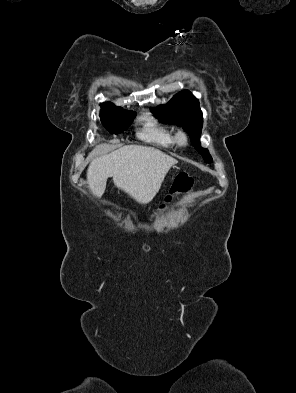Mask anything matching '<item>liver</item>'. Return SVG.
Instances as JSON below:
<instances>
[{"label":"liver","mask_w":296,"mask_h":393,"mask_svg":"<svg viewBox=\"0 0 296 393\" xmlns=\"http://www.w3.org/2000/svg\"><path fill=\"white\" fill-rule=\"evenodd\" d=\"M178 161L153 147L123 146L110 154L95 158L87 169L88 187L100 198L106 182L114 185L140 204H146L159 191L169 169Z\"/></svg>","instance_id":"1"}]
</instances>
